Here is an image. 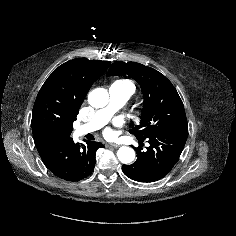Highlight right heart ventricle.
Returning a JSON list of instances; mask_svg holds the SVG:
<instances>
[{"instance_id": "e07e8e85", "label": "right heart ventricle", "mask_w": 236, "mask_h": 236, "mask_svg": "<svg viewBox=\"0 0 236 236\" xmlns=\"http://www.w3.org/2000/svg\"><path fill=\"white\" fill-rule=\"evenodd\" d=\"M123 82L129 83L128 81H123ZM129 84H130V83H129Z\"/></svg>"}]
</instances>
